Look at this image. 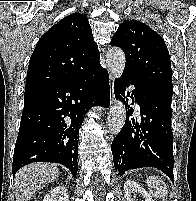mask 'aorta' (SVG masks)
<instances>
[{
    "instance_id": "obj_1",
    "label": "aorta",
    "mask_w": 196,
    "mask_h": 201,
    "mask_svg": "<svg viewBox=\"0 0 196 201\" xmlns=\"http://www.w3.org/2000/svg\"><path fill=\"white\" fill-rule=\"evenodd\" d=\"M125 54L118 47L110 48L106 55V63L109 71L117 78H120L125 68ZM126 108L123 102L116 101L110 108L107 117V128L112 135L118 134L125 124Z\"/></svg>"
}]
</instances>
